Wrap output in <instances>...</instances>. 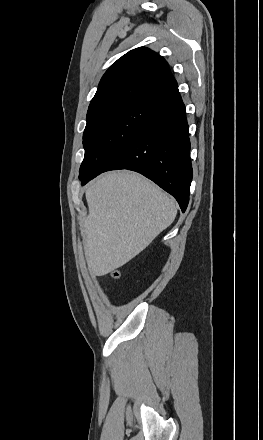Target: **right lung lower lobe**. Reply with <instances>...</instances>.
I'll return each mask as SVG.
<instances>
[{"label":"right lung lower lobe","mask_w":263,"mask_h":440,"mask_svg":"<svg viewBox=\"0 0 263 440\" xmlns=\"http://www.w3.org/2000/svg\"><path fill=\"white\" fill-rule=\"evenodd\" d=\"M117 169L133 170L151 179L174 196L185 212L193 171L185 105L178 91L156 105L145 125L103 172Z\"/></svg>","instance_id":"98d812e1"}]
</instances>
